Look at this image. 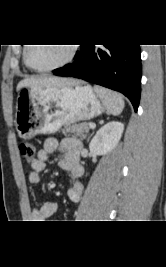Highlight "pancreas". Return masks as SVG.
Listing matches in <instances>:
<instances>
[{
	"label": "pancreas",
	"instance_id": "obj_1",
	"mask_svg": "<svg viewBox=\"0 0 166 267\" xmlns=\"http://www.w3.org/2000/svg\"><path fill=\"white\" fill-rule=\"evenodd\" d=\"M89 126H90V123H87V122L80 123V124H72V125L70 124V125H66L62 129V132L65 136L72 135L75 137H79L81 140H84L89 134Z\"/></svg>",
	"mask_w": 166,
	"mask_h": 267
}]
</instances>
